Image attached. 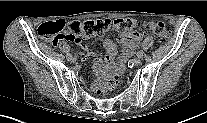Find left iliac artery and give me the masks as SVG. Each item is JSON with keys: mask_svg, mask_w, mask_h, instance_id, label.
I'll return each instance as SVG.
<instances>
[{"mask_svg": "<svg viewBox=\"0 0 207 123\" xmlns=\"http://www.w3.org/2000/svg\"><path fill=\"white\" fill-rule=\"evenodd\" d=\"M143 55H144V53H143L142 50H140V51L137 52V57L142 58Z\"/></svg>", "mask_w": 207, "mask_h": 123, "instance_id": "left-iliac-artery-1", "label": "left iliac artery"}]
</instances>
